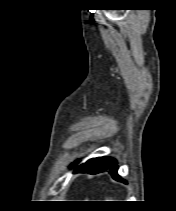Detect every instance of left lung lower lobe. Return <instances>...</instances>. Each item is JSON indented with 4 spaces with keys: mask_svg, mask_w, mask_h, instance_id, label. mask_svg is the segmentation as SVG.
Instances as JSON below:
<instances>
[{
    "mask_svg": "<svg viewBox=\"0 0 176 211\" xmlns=\"http://www.w3.org/2000/svg\"><path fill=\"white\" fill-rule=\"evenodd\" d=\"M114 162L115 160L112 158L108 159L104 157L93 158L79 165L75 171L89 174H97L109 170L112 177L115 178L117 181L126 182L125 180L121 179V177L118 175L117 173L118 166ZM77 163L78 162H76V164Z\"/></svg>",
    "mask_w": 176,
    "mask_h": 211,
    "instance_id": "1",
    "label": "left lung lower lobe"
}]
</instances>
